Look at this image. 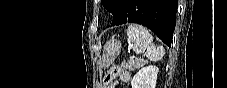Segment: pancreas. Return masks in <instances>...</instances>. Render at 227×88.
<instances>
[{
    "instance_id": "pancreas-1",
    "label": "pancreas",
    "mask_w": 227,
    "mask_h": 88,
    "mask_svg": "<svg viewBox=\"0 0 227 88\" xmlns=\"http://www.w3.org/2000/svg\"><path fill=\"white\" fill-rule=\"evenodd\" d=\"M145 63L146 61L144 59H130L127 62H123L122 66L130 71H134L142 67Z\"/></svg>"
}]
</instances>
